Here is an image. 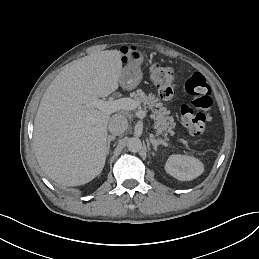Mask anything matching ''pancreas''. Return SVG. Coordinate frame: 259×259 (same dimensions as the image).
Here are the masks:
<instances>
[{
	"label": "pancreas",
	"mask_w": 259,
	"mask_h": 259,
	"mask_svg": "<svg viewBox=\"0 0 259 259\" xmlns=\"http://www.w3.org/2000/svg\"><path fill=\"white\" fill-rule=\"evenodd\" d=\"M134 99L143 104L144 109L148 108L152 111L151 118L154 120V127L158 126L166 135L167 133L174 134L172 129L175 128L176 123L172 116H168L169 112L155 95L152 93L146 95L141 89H138L134 93Z\"/></svg>",
	"instance_id": "pancreas-1"
}]
</instances>
